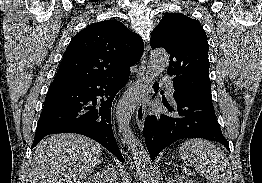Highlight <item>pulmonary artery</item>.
<instances>
[{
	"instance_id": "pulmonary-artery-1",
	"label": "pulmonary artery",
	"mask_w": 262,
	"mask_h": 183,
	"mask_svg": "<svg viewBox=\"0 0 262 183\" xmlns=\"http://www.w3.org/2000/svg\"><path fill=\"white\" fill-rule=\"evenodd\" d=\"M162 83L165 85L170 98H173L174 87L172 81L169 78H163Z\"/></svg>"
}]
</instances>
